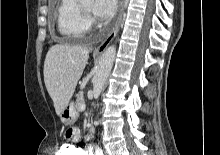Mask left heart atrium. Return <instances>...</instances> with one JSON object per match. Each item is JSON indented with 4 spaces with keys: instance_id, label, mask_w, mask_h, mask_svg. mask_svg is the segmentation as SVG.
Here are the masks:
<instances>
[{
    "instance_id": "39dd6f15",
    "label": "left heart atrium",
    "mask_w": 220,
    "mask_h": 155,
    "mask_svg": "<svg viewBox=\"0 0 220 155\" xmlns=\"http://www.w3.org/2000/svg\"><path fill=\"white\" fill-rule=\"evenodd\" d=\"M118 6V0H95L93 5L94 13L100 18L111 17Z\"/></svg>"
}]
</instances>
